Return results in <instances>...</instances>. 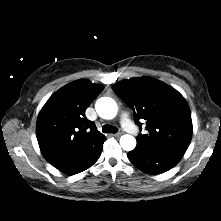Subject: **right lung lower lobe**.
<instances>
[{"label": "right lung lower lobe", "mask_w": 221, "mask_h": 221, "mask_svg": "<svg viewBox=\"0 0 221 221\" xmlns=\"http://www.w3.org/2000/svg\"><path fill=\"white\" fill-rule=\"evenodd\" d=\"M98 158H99V157H98ZM98 158H97V160H98ZM97 160H96V161H97ZM96 161H95V162H96ZM95 162H94V163H95ZM94 163H93V164H94ZM93 164H91L90 166H92ZM90 166H89V167H90ZM89 167H88V168H89ZM86 169H87V168H86Z\"/></svg>", "instance_id": "98d812e1"}]
</instances>
